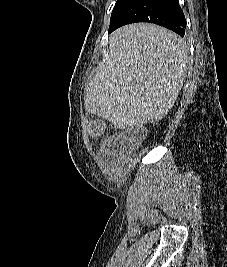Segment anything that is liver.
<instances>
[{"label":"liver","instance_id":"6515ba94","mask_svg":"<svg viewBox=\"0 0 227 267\" xmlns=\"http://www.w3.org/2000/svg\"><path fill=\"white\" fill-rule=\"evenodd\" d=\"M109 49L108 61L89 79L86 111L120 129L164 118L186 77V42L163 27L137 23L116 30Z\"/></svg>","mask_w":227,"mask_h":267}]
</instances>
